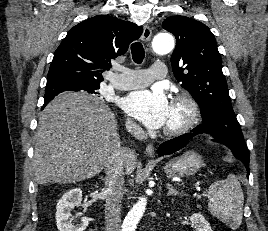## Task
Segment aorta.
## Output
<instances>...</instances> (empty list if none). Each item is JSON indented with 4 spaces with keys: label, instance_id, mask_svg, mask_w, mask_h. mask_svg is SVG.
<instances>
[{
    "label": "aorta",
    "instance_id": "762f6f07",
    "mask_svg": "<svg viewBox=\"0 0 268 231\" xmlns=\"http://www.w3.org/2000/svg\"><path fill=\"white\" fill-rule=\"evenodd\" d=\"M152 46L156 54L164 55L173 50L174 39L170 34L160 33L154 37ZM146 205L147 199L145 197H140L138 202L126 215L122 224V231H135L138 222L145 212Z\"/></svg>",
    "mask_w": 268,
    "mask_h": 231
}]
</instances>
